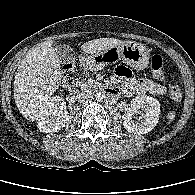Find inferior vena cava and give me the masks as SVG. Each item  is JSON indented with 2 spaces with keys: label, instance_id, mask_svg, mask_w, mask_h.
I'll return each mask as SVG.
<instances>
[{
  "label": "inferior vena cava",
  "instance_id": "602c4592",
  "mask_svg": "<svg viewBox=\"0 0 195 195\" xmlns=\"http://www.w3.org/2000/svg\"><path fill=\"white\" fill-rule=\"evenodd\" d=\"M76 98L78 99V101L80 103H84V102H87L90 99H92L93 94L90 90L85 89V90H82V91L78 92L77 95H76Z\"/></svg>",
  "mask_w": 195,
  "mask_h": 195
}]
</instances>
